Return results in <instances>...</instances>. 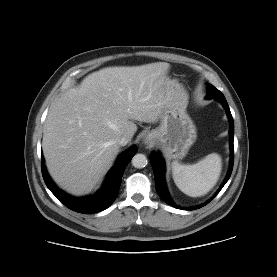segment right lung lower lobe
<instances>
[{
	"label": "right lung lower lobe",
	"mask_w": 277,
	"mask_h": 277,
	"mask_svg": "<svg viewBox=\"0 0 277 277\" xmlns=\"http://www.w3.org/2000/svg\"><path fill=\"white\" fill-rule=\"evenodd\" d=\"M136 152L137 147L132 146L130 149L120 155L116 164L107 174L103 187L93 196L77 198L61 191L47 173L45 164L43 162V156L42 175L49 190L69 209L84 214L96 213L108 208L116 199L121 185L123 172Z\"/></svg>",
	"instance_id": "1"
}]
</instances>
